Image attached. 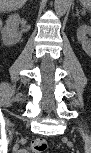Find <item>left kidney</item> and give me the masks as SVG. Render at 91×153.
<instances>
[{"instance_id": "1", "label": "left kidney", "mask_w": 91, "mask_h": 153, "mask_svg": "<svg viewBox=\"0 0 91 153\" xmlns=\"http://www.w3.org/2000/svg\"><path fill=\"white\" fill-rule=\"evenodd\" d=\"M91 32V28L87 25H82L77 30V39L81 42L83 50L87 55L91 54V45L87 41L86 35Z\"/></svg>"}]
</instances>
